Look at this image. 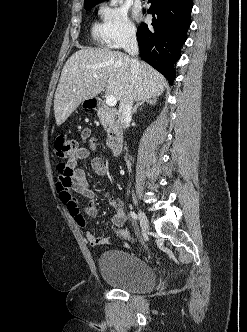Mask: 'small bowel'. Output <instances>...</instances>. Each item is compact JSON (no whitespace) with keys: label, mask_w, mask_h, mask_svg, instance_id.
Returning a JSON list of instances; mask_svg holds the SVG:
<instances>
[{"label":"small bowel","mask_w":247,"mask_h":332,"mask_svg":"<svg viewBox=\"0 0 247 332\" xmlns=\"http://www.w3.org/2000/svg\"><path fill=\"white\" fill-rule=\"evenodd\" d=\"M84 140L89 139L88 147H79L74 156L69 158L66 163L57 166L59 177L56 183V190L61 202L67 207L70 215L80 227H86L87 218H95L98 214L95 193L88 185L87 175L84 169L79 166V161L90 159L92 171L98 176H106L107 168L103 159L95 154V139L90 137V132L84 130L82 133ZM74 193L86 198L88 201L84 207H81ZM113 208L114 215L112 226L120 228L126 220L125 204L120 198L108 197ZM86 240L91 246L106 245L108 238L98 237L91 232L86 233Z\"/></svg>","instance_id":"c3829d8e"}]
</instances>
